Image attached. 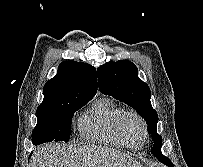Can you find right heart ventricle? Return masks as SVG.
Returning <instances> with one entry per match:
<instances>
[{
	"instance_id": "e07e8e85",
	"label": "right heart ventricle",
	"mask_w": 203,
	"mask_h": 167,
	"mask_svg": "<svg viewBox=\"0 0 203 167\" xmlns=\"http://www.w3.org/2000/svg\"><path fill=\"white\" fill-rule=\"evenodd\" d=\"M125 112L114 100L106 97L95 101L78 122L80 135L88 140L133 148L118 130V120Z\"/></svg>"
}]
</instances>
